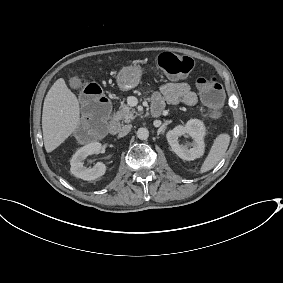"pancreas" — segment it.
Listing matches in <instances>:
<instances>
[{
	"mask_svg": "<svg viewBox=\"0 0 283 283\" xmlns=\"http://www.w3.org/2000/svg\"><path fill=\"white\" fill-rule=\"evenodd\" d=\"M136 115H138V112L136 110H132L126 103L122 104L118 111L112 113L113 118L116 120H124L126 123L135 119Z\"/></svg>",
	"mask_w": 283,
	"mask_h": 283,
	"instance_id": "cf45deb5",
	"label": "pancreas"
}]
</instances>
